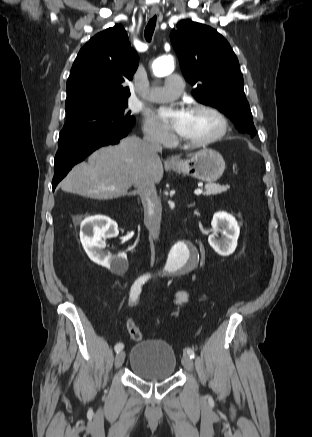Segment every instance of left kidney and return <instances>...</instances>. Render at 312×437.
Instances as JSON below:
<instances>
[{"label": "left kidney", "instance_id": "1", "mask_svg": "<svg viewBox=\"0 0 312 437\" xmlns=\"http://www.w3.org/2000/svg\"><path fill=\"white\" fill-rule=\"evenodd\" d=\"M213 233L209 236L210 246L221 256H229L237 247L240 228L236 219L227 212H216L212 222ZM218 233L221 238L217 239Z\"/></svg>", "mask_w": 312, "mask_h": 437}]
</instances>
